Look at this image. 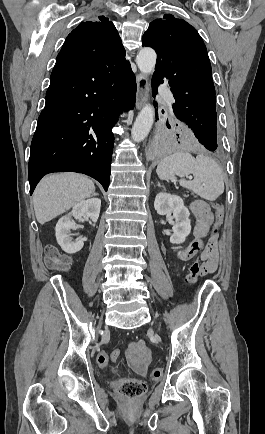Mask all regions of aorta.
<instances>
[{"mask_svg":"<svg viewBox=\"0 0 265 434\" xmlns=\"http://www.w3.org/2000/svg\"><path fill=\"white\" fill-rule=\"evenodd\" d=\"M157 54L152 48H142L137 54L136 64L142 74H151L154 72ZM154 122V108L150 104H145L141 112H139L134 126L131 130V138L133 142H143L148 136L152 124Z\"/></svg>","mask_w":265,"mask_h":434,"instance_id":"aorta-1","label":"aorta"}]
</instances>
